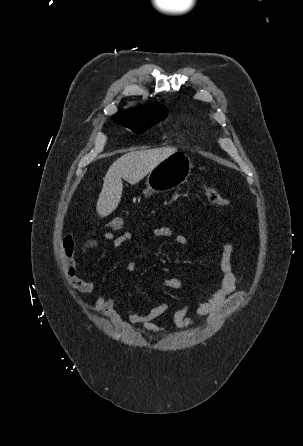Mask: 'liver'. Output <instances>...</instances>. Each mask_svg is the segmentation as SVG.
<instances>
[{
	"instance_id": "6515ba94",
	"label": "liver",
	"mask_w": 303,
	"mask_h": 446,
	"mask_svg": "<svg viewBox=\"0 0 303 446\" xmlns=\"http://www.w3.org/2000/svg\"><path fill=\"white\" fill-rule=\"evenodd\" d=\"M176 152L175 148L131 151L117 159L109 167L103 179V187L96 206L98 215L106 217L117 208L122 196V179L134 185Z\"/></svg>"
}]
</instances>
